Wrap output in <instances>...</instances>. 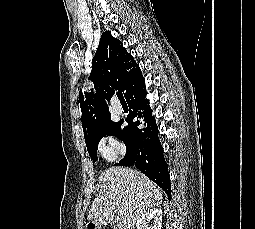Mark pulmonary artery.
<instances>
[{"mask_svg": "<svg viewBox=\"0 0 255 229\" xmlns=\"http://www.w3.org/2000/svg\"><path fill=\"white\" fill-rule=\"evenodd\" d=\"M112 109L117 114L123 113V107L117 102L112 103Z\"/></svg>", "mask_w": 255, "mask_h": 229, "instance_id": "pulmonary-artery-1", "label": "pulmonary artery"}]
</instances>
